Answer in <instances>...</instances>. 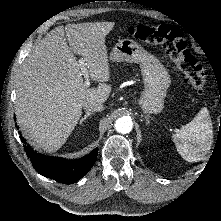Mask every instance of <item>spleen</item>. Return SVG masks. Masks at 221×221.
<instances>
[{
    "mask_svg": "<svg viewBox=\"0 0 221 221\" xmlns=\"http://www.w3.org/2000/svg\"><path fill=\"white\" fill-rule=\"evenodd\" d=\"M179 154L188 162L202 160L213 144V127L207 108L172 136Z\"/></svg>",
    "mask_w": 221,
    "mask_h": 221,
    "instance_id": "3e777b00",
    "label": "spleen"
}]
</instances>
